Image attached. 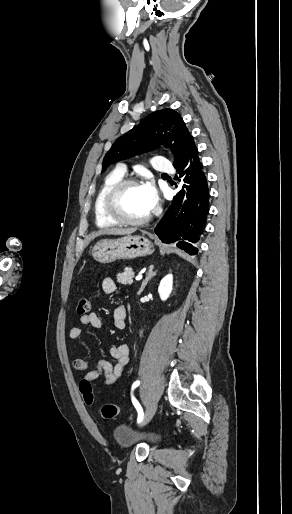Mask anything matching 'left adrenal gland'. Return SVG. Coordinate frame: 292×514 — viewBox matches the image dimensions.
Segmentation results:
<instances>
[{
	"label": "left adrenal gland",
	"mask_w": 292,
	"mask_h": 514,
	"mask_svg": "<svg viewBox=\"0 0 292 514\" xmlns=\"http://www.w3.org/2000/svg\"><path fill=\"white\" fill-rule=\"evenodd\" d=\"M153 268H154V266H149L148 274H147L145 280H143L142 286H141L138 294H141V292H143L145 286H147L149 280H151V278H153V276H156V272H153Z\"/></svg>",
	"instance_id": "obj_1"
}]
</instances>
